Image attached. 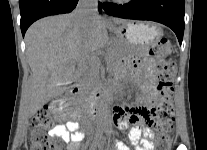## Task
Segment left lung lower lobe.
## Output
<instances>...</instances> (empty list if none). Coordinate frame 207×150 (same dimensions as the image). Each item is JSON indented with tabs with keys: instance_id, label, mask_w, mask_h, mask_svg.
Returning <instances> with one entry per match:
<instances>
[{
	"instance_id": "1",
	"label": "left lung lower lobe",
	"mask_w": 207,
	"mask_h": 150,
	"mask_svg": "<svg viewBox=\"0 0 207 150\" xmlns=\"http://www.w3.org/2000/svg\"><path fill=\"white\" fill-rule=\"evenodd\" d=\"M103 9L112 16L151 20L170 27L182 43L184 33V0H134L128 4L118 5L104 3Z\"/></svg>"
}]
</instances>
